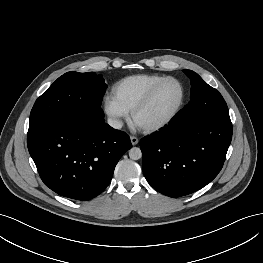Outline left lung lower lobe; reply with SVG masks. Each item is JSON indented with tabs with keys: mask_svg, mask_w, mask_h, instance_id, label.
Returning a JSON list of instances; mask_svg holds the SVG:
<instances>
[{
	"mask_svg": "<svg viewBox=\"0 0 263 263\" xmlns=\"http://www.w3.org/2000/svg\"><path fill=\"white\" fill-rule=\"evenodd\" d=\"M231 139L229 116L212 117L186 129L173 118L140 141L145 178L164 195L191 194L218 175Z\"/></svg>",
	"mask_w": 263,
	"mask_h": 263,
	"instance_id": "left-lung-lower-lobe-1",
	"label": "left lung lower lobe"
}]
</instances>
